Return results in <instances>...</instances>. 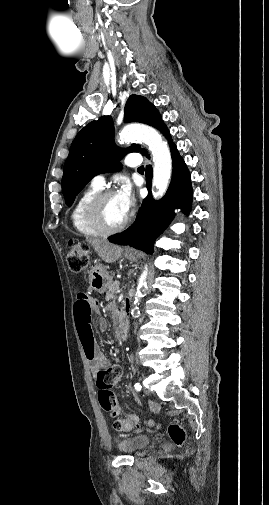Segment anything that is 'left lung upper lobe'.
<instances>
[{
  "instance_id": "left-lung-upper-lobe-1",
  "label": "left lung upper lobe",
  "mask_w": 269,
  "mask_h": 505,
  "mask_svg": "<svg viewBox=\"0 0 269 505\" xmlns=\"http://www.w3.org/2000/svg\"><path fill=\"white\" fill-rule=\"evenodd\" d=\"M160 119L156 108L142 96L131 95L124 108L125 122H140L151 126ZM145 149L133 144L127 149L118 148L114 142V125L111 116H103L87 124L72 142L64 165L62 191L65 202L71 206L76 195L97 174L119 168V160L128 152Z\"/></svg>"
}]
</instances>
